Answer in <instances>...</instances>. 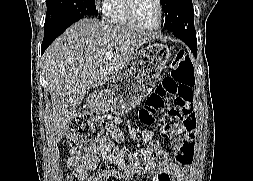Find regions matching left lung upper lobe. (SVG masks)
<instances>
[{"label": "left lung upper lobe", "instance_id": "5c2ea615", "mask_svg": "<svg viewBox=\"0 0 253 181\" xmlns=\"http://www.w3.org/2000/svg\"><path fill=\"white\" fill-rule=\"evenodd\" d=\"M165 12V28L170 32L196 36L192 0H160Z\"/></svg>", "mask_w": 253, "mask_h": 181}]
</instances>
